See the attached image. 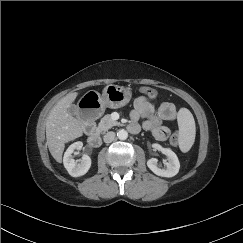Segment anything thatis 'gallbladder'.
Segmentation results:
<instances>
[{
    "label": "gallbladder",
    "instance_id": "1",
    "mask_svg": "<svg viewBox=\"0 0 243 243\" xmlns=\"http://www.w3.org/2000/svg\"><path fill=\"white\" fill-rule=\"evenodd\" d=\"M67 111L70 115L75 116L77 114L78 108L74 104H71Z\"/></svg>",
    "mask_w": 243,
    "mask_h": 243
}]
</instances>
